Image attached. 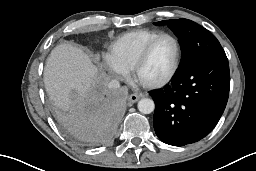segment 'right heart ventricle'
I'll list each match as a JSON object with an SVG mask.
<instances>
[{
  "label": "right heart ventricle",
  "instance_id": "e07e8e85",
  "mask_svg": "<svg viewBox=\"0 0 256 171\" xmlns=\"http://www.w3.org/2000/svg\"><path fill=\"white\" fill-rule=\"evenodd\" d=\"M159 34L160 31L149 29L125 33L110 45L108 58L125 71L131 70L147 43Z\"/></svg>",
  "mask_w": 256,
  "mask_h": 171
}]
</instances>
